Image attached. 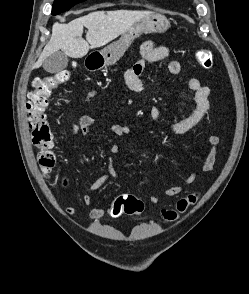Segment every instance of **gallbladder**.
<instances>
[{
	"label": "gallbladder",
	"instance_id": "gallbladder-1",
	"mask_svg": "<svg viewBox=\"0 0 249 294\" xmlns=\"http://www.w3.org/2000/svg\"><path fill=\"white\" fill-rule=\"evenodd\" d=\"M68 61V56L64 52L57 51L43 61V68L46 72L58 73L67 67Z\"/></svg>",
	"mask_w": 249,
	"mask_h": 294
}]
</instances>
